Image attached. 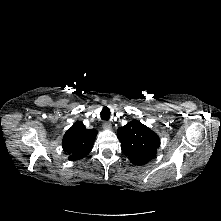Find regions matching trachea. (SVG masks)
Listing matches in <instances>:
<instances>
[{"mask_svg":"<svg viewBox=\"0 0 221 221\" xmlns=\"http://www.w3.org/2000/svg\"><path fill=\"white\" fill-rule=\"evenodd\" d=\"M101 118L105 121L109 120L110 118V109L108 107H103L101 111Z\"/></svg>","mask_w":221,"mask_h":221,"instance_id":"obj_1","label":"trachea"}]
</instances>
